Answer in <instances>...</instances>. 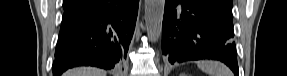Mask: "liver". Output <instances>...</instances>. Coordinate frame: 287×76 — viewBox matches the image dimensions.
Listing matches in <instances>:
<instances>
[{"label": "liver", "mask_w": 287, "mask_h": 76, "mask_svg": "<svg viewBox=\"0 0 287 76\" xmlns=\"http://www.w3.org/2000/svg\"><path fill=\"white\" fill-rule=\"evenodd\" d=\"M67 76H106L104 70L93 67H79L69 70Z\"/></svg>", "instance_id": "6515ba94"}]
</instances>
